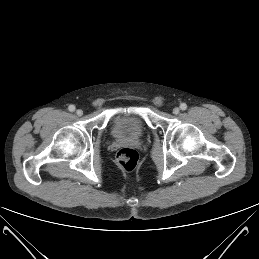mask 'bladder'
<instances>
[{
    "label": "bladder",
    "instance_id": "31cf9c89",
    "mask_svg": "<svg viewBox=\"0 0 259 259\" xmlns=\"http://www.w3.org/2000/svg\"><path fill=\"white\" fill-rule=\"evenodd\" d=\"M110 132L115 138L135 139L145 133V125L139 117L116 107L111 114Z\"/></svg>",
    "mask_w": 259,
    "mask_h": 259
}]
</instances>
